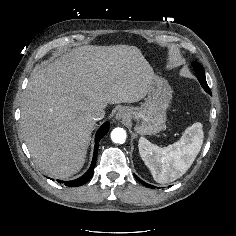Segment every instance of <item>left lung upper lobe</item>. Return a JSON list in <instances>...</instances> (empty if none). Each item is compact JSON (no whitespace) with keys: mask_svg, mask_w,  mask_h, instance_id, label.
<instances>
[{"mask_svg":"<svg viewBox=\"0 0 236 236\" xmlns=\"http://www.w3.org/2000/svg\"><path fill=\"white\" fill-rule=\"evenodd\" d=\"M192 66H193V68L195 70L197 78H198L201 86L203 87V89L207 93L211 94V90H210V88H209V86H208V84L206 82V77H205V73H204L203 67L199 63H197V62H193Z\"/></svg>","mask_w":236,"mask_h":236,"instance_id":"1","label":"left lung upper lobe"}]
</instances>
